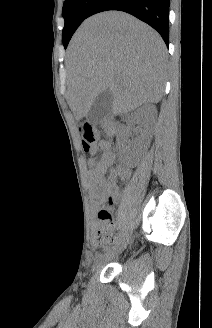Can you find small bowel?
<instances>
[{
    "instance_id": "small-bowel-1",
    "label": "small bowel",
    "mask_w": 212,
    "mask_h": 328,
    "mask_svg": "<svg viewBox=\"0 0 212 328\" xmlns=\"http://www.w3.org/2000/svg\"><path fill=\"white\" fill-rule=\"evenodd\" d=\"M97 149L102 150L103 154L99 160L92 157L88 160V165L92 168L89 179L93 185L92 202L94 205H101L107 196L116 197L118 189L116 178L127 179L130 176V170L117 163L115 154L110 150L109 143L101 141ZM108 172V176H106ZM96 228L100 223L96 222Z\"/></svg>"
}]
</instances>
